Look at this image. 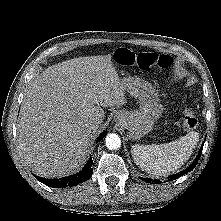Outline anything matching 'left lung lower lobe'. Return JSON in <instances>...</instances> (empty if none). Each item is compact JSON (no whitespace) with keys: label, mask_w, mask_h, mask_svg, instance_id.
Masks as SVG:
<instances>
[{"label":"left lung lower lobe","mask_w":221,"mask_h":221,"mask_svg":"<svg viewBox=\"0 0 221 221\" xmlns=\"http://www.w3.org/2000/svg\"><path fill=\"white\" fill-rule=\"evenodd\" d=\"M204 142H205V141H204ZM203 145H204V143H203ZM203 145H202V147H201V149H200V151H199L198 156L196 157V160H195L186 170L180 172L179 174L170 176V178L168 179V181L175 180V179H177L178 177L182 176L183 174H185V173H187V172H189V171H191L192 169L195 168V166H196V164H197V160H199V158H200V156H201L202 149H203ZM141 180H143V181H145V182H150V181H152V182L155 183V184H160V182H161L160 180H150L149 178H141Z\"/></svg>","instance_id":"obj_1"}]
</instances>
